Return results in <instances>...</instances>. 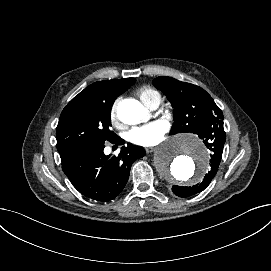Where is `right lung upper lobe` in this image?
I'll return each instance as SVG.
<instances>
[{"mask_svg":"<svg viewBox=\"0 0 271 271\" xmlns=\"http://www.w3.org/2000/svg\"><path fill=\"white\" fill-rule=\"evenodd\" d=\"M126 79H130V78H126ZM116 80H118V79L95 82V83L91 84L90 86H88L86 89H89V88H92L94 86L104 84V83H107V82L116 81ZM119 80H125V79H119Z\"/></svg>","mask_w":271,"mask_h":271,"instance_id":"cb5924a9","label":"right lung upper lobe"}]
</instances>
